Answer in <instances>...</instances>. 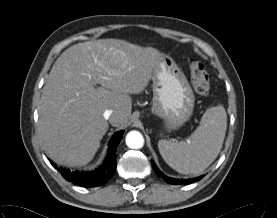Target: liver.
<instances>
[{
  "instance_id": "1",
  "label": "liver",
  "mask_w": 277,
  "mask_h": 218,
  "mask_svg": "<svg viewBox=\"0 0 277 218\" xmlns=\"http://www.w3.org/2000/svg\"><path fill=\"white\" fill-rule=\"evenodd\" d=\"M161 58L155 48L118 39L66 49L48 75L38 107V130L48 156L59 165L88 164L109 123L119 128L128 123L130 94L148 86ZM107 109L113 111L109 123L103 116Z\"/></svg>"
}]
</instances>
